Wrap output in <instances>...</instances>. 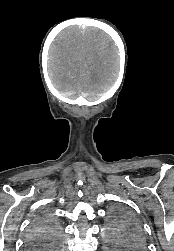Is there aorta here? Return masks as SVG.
<instances>
[{
	"instance_id": "1",
	"label": "aorta",
	"mask_w": 174,
	"mask_h": 251,
	"mask_svg": "<svg viewBox=\"0 0 174 251\" xmlns=\"http://www.w3.org/2000/svg\"><path fill=\"white\" fill-rule=\"evenodd\" d=\"M102 237L104 239V250L105 251H119L120 245L118 242H114L111 239V233L110 230H103L102 231Z\"/></svg>"
}]
</instances>
